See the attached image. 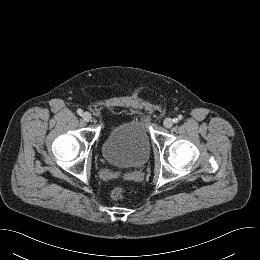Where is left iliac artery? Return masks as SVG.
<instances>
[{"label": "left iliac artery", "mask_w": 260, "mask_h": 260, "mask_svg": "<svg viewBox=\"0 0 260 260\" xmlns=\"http://www.w3.org/2000/svg\"><path fill=\"white\" fill-rule=\"evenodd\" d=\"M181 119H182V116L179 115L177 118H174V119H173V122H174V123H178Z\"/></svg>", "instance_id": "obj_1"}]
</instances>
